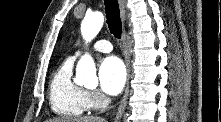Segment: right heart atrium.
I'll return each mask as SVG.
<instances>
[{
  "mask_svg": "<svg viewBox=\"0 0 221 122\" xmlns=\"http://www.w3.org/2000/svg\"><path fill=\"white\" fill-rule=\"evenodd\" d=\"M86 97L91 108H101L106 104V99L95 91H86Z\"/></svg>",
  "mask_w": 221,
  "mask_h": 122,
  "instance_id": "obj_1",
  "label": "right heart atrium"
}]
</instances>
